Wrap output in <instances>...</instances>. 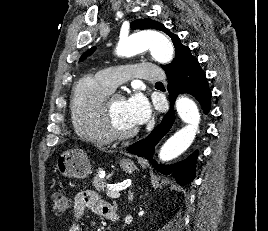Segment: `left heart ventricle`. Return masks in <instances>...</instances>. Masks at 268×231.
<instances>
[{"mask_svg": "<svg viewBox=\"0 0 268 231\" xmlns=\"http://www.w3.org/2000/svg\"><path fill=\"white\" fill-rule=\"evenodd\" d=\"M113 116L116 125L123 131H129L137 127L127 108L126 100L124 99L115 101L113 106Z\"/></svg>", "mask_w": 268, "mask_h": 231, "instance_id": "left-heart-ventricle-1", "label": "left heart ventricle"}]
</instances>
